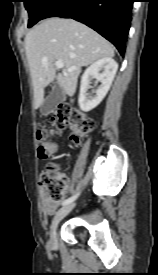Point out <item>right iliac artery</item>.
<instances>
[{
	"instance_id": "1",
	"label": "right iliac artery",
	"mask_w": 158,
	"mask_h": 275,
	"mask_svg": "<svg viewBox=\"0 0 158 275\" xmlns=\"http://www.w3.org/2000/svg\"><path fill=\"white\" fill-rule=\"evenodd\" d=\"M78 195H79V193H77V194L73 195L72 197H70V198L64 200V201L62 202V205L65 206V205L70 204L71 202H73V201L77 198Z\"/></svg>"
}]
</instances>
